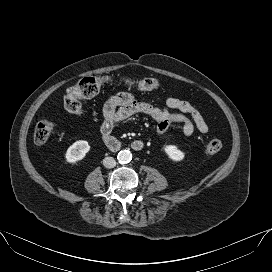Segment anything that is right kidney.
<instances>
[{
    "label": "right kidney",
    "instance_id": "1",
    "mask_svg": "<svg viewBox=\"0 0 272 272\" xmlns=\"http://www.w3.org/2000/svg\"><path fill=\"white\" fill-rule=\"evenodd\" d=\"M90 145L85 140H79L73 143L66 151L65 157L67 162L76 163L82 160L89 152Z\"/></svg>",
    "mask_w": 272,
    "mask_h": 272
}]
</instances>
